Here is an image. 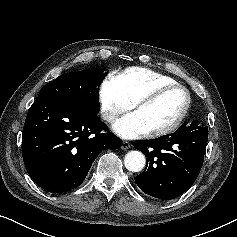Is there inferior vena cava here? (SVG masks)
Listing matches in <instances>:
<instances>
[{
    "label": "inferior vena cava",
    "mask_w": 237,
    "mask_h": 237,
    "mask_svg": "<svg viewBox=\"0 0 237 237\" xmlns=\"http://www.w3.org/2000/svg\"><path fill=\"white\" fill-rule=\"evenodd\" d=\"M102 117L103 119L107 120V121H113L115 119V115L111 112H103L102 113Z\"/></svg>",
    "instance_id": "inferior-vena-cava-1"
}]
</instances>
